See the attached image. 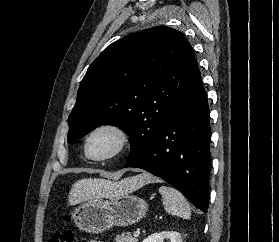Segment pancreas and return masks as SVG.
<instances>
[{
	"label": "pancreas",
	"mask_w": 279,
	"mask_h": 242,
	"mask_svg": "<svg viewBox=\"0 0 279 242\" xmlns=\"http://www.w3.org/2000/svg\"><path fill=\"white\" fill-rule=\"evenodd\" d=\"M116 242H137V238H133L130 234L117 235L115 238Z\"/></svg>",
	"instance_id": "cf45deb5"
}]
</instances>
